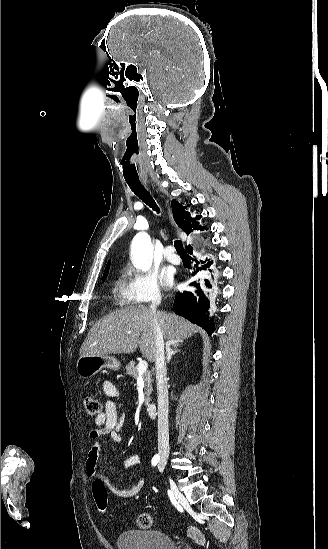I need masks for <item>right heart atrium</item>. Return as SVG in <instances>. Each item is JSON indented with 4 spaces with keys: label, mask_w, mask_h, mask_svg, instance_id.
Wrapping results in <instances>:
<instances>
[{
    "label": "right heart atrium",
    "mask_w": 328,
    "mask_h": 549,
    "mask_svg": "<svg viewBox=\"0 0 328 549\" xmlns=\"http://www.w3.org/2000/svg\"><path fill=\"white\" fill-rule=\"evenodd\" d=\"M125 284L136 303H159L162 299L159 275L154 270L140 272L129 266L125 270Z\"/></svg>",
    "instance_id": "right-heart-atrium-1"
}]
</instances>
